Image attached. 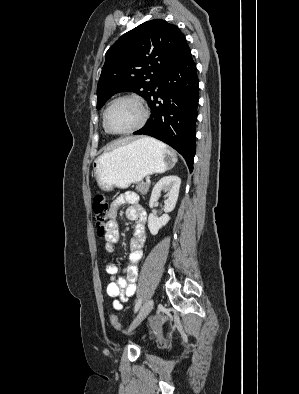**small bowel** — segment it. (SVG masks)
<instances>
[{
  "label": "small bowel",
  "instance_id": "obj_1",
  "mask_svg": "<svg viewBox=\"0 0 299 394\" xmlns=\"http://www.w3.org/2000/svg\"><path fill=\"white\" fill-rule=\"evenodd\" d=\"M138 195L133 191H126L115 198L109 210V219L105 226V250L112 254L115 251V244L119 240V227L117 216L120 208L128 204L125 215L134 222V232L130 240V253L128 264L125 267L122 277L116 278L118 266L115 263H108L105 267L109 275L110 283L107 286V294L116 298L114 307L117 310L122 308L119 300L126 301L128 297L134 295L136 290V280L138 277V264L143 256V247L147 239L145 209L138 203Z\"/></svg>",
  "mask_w": 299,
  "mask_h": 394
}]
</instances>
